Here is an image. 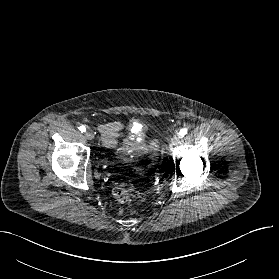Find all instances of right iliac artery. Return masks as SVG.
<instances>
[{
    "mask_svg": "<svg viewBox=\"0 0 279 279\" xmlns=\"http://www.w3.org/2000/svg\"><path fill=\"white\" fill-rule=\"evenodd\" d=\"M79 130L83 133L86 131V127L84 125L79 127Z\"/></svg>",
    "mask_w": 279,
    "mask_h": 279,
    "instance_id": "right-iliac-artery-1",
    "label": "right iliac artery"
}]
</instances>
